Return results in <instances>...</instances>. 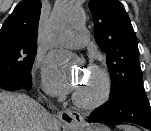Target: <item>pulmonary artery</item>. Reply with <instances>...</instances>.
<instances>
[{"label": "pulmonary artery", "mask_w": 151, "mask_h": 131, "mask_svg": "<svg viewBox=\"0 0 151 131\" xmlns=\"http://www.w3.org/2000/svg\"><path fill=\"white\" fill-rule=\"evenodd\" d=\"M89 33L84 28H78L71 32L64 40V45L69 47H83L89 42Z\"/></svg>", "instance_id": "obj_1"}]
</instances>
